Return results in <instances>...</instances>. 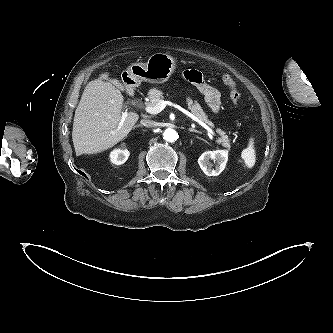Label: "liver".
Here are the masks:
<instances>
[{
	"label": "liver",
	"mask_w": 333,
	"mask_h": 333,
	"mask_svg": "<svg viewBox=\"0 0 333 333\" xmlns=\"http://www.w3.org/2000/svg\"><path fill=\"white\" fill-rule=\"evenodd\" d=\"M108 75L102 73L86 85L75 110L72 140L77 155L113 147L128 135L139 119L137 113L125 112L127 116L119 129L124 114L122 91L125 85L117 79L103 81Z\"/></svg>",
	"instance_id": "liver-1"
}]
</instances>
